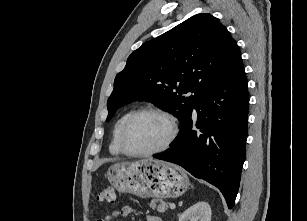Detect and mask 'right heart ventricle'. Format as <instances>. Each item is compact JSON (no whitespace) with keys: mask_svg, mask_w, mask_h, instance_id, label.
Here are the masks:
<instances>
[{"mask_svg":"<svg viewBox=\"0 0 307 221\" xmlns=\"http://www.w3.org/2000/svg\"><path fill=\"white\" fill-rule=\"evenodd\" d=\"M134 110H128L125 113H123L118 120L116 121L114 128H113V133H112V139L111 143L109 146V151L113 155H120L122 154V151L119 147V134L121 131V128L125 121L129 118V116L134 113Z\"/></svg>","mask_w":307,"mask_h":221,"instance_id":"1","label":"right heart ventricle"}]
</instances>
